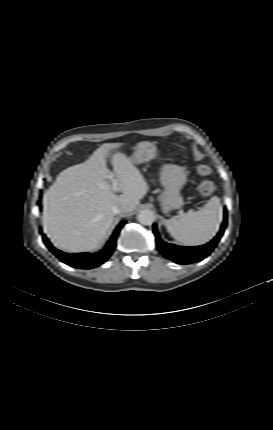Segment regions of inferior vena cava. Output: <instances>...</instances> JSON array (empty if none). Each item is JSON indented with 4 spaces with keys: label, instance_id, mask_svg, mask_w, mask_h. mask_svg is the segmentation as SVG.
I'll use <instances>...</instances> for the list:
<instances>
[{
    "label": "inferior vena cava",
    "instance_id": "obj_1",
    "mask_svg": "<svg viewBox=\"0 0 273 430\" xmlns=\"http://www.w3.org/2000/svg\"><path fill=\"white\" fill-rule=\"evenodd\" d=\"M111 210L114 214H118L124 211V205L122 203H116L112 206Z\"/></svg>",
    "mask_w": 273,
    "mask_h": 430
}]
</instances>
